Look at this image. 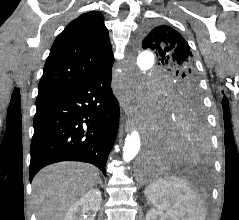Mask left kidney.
<instances>
[{
	"mask_svg": "<svg viewBox=\"0 0 239 220\" xmlns=\"http://www.w3.org/2000/svg\"><path fill=\"white\" fill-rule=\"evenodd\" d=\"M146 220H180L171 212L164 213L162 210L151 208L146 214Z\"/></svg>",
	"mask_w": 239,
	"mask_h": 220,
	"instance_id": "left-kidney-1",
	"label": "left kidney"
}]
</instances>
